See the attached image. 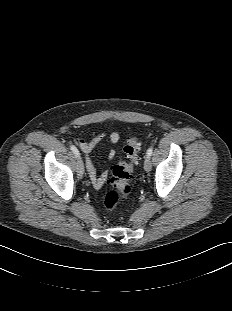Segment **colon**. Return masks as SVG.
<instances>
[{"instance_id":"5ec220e1","label":"colon","mask_w":232,"mask_h":311,"mask_svg":"<svg viewBox=\"0 0 232 311\" xmlns=\"http://www.w3.org/2000/svg\"><path fill=\"white\" fill-rule=\"evenodd\" d=\"M140 147L141 143L138 138L130 137L126 140L123 153L129 159V162H119L112 168L109 180L112 189L103 196V205L108 211L114 210L131 193L133 169L138 161Z\"/></svg>"}]
</instances>
